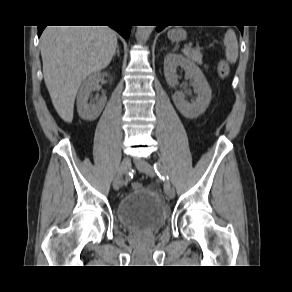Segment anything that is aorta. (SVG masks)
<instances>
[{
    "mask_svg": "<svg viewBox=\"0 0 292 292\" xmlns=\"http://www.w3.org/2000/svg\"><path fill=\"white\" fill-rule=\"evenodd\" d=\"M153 31V26H137L136 37L140 42L147 41Z\"/></svg>",
    "mask_w": 292,
    "mask_h": 292,
    "instance_id": "762f6f07",
    "label": "aorta"
}]
</instances>
